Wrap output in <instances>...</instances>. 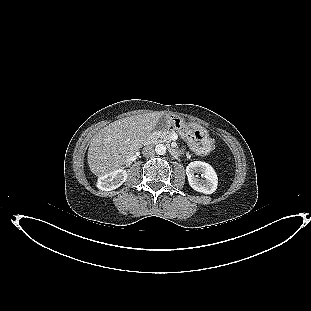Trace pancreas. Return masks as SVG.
<instances>
[{
	"instance_id": "pancreas-1",
	"label": "pancreas",
	"mask_w": 311,
	"mask_h": 311,
	"mask_svg": "<svg viewBox=\"0 0 311 311\" xmlns=\"http://www.w3.org/2000/svg\"><path fill=\"white\" fill-rule=\"evenodd\" d=\"M173 130H163V131H157L152 136V141H159V142H166L169 143L171 141V135L173 134ZM159 139V140H158Z\"/></svg>"
}]
</instances>
